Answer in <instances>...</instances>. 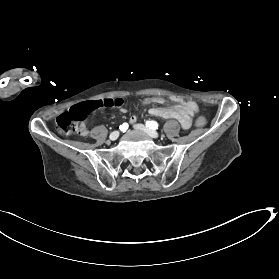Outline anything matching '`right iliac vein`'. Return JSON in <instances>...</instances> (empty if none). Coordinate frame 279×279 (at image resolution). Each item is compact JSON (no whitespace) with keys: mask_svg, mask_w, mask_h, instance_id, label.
<instances>
[{"mask_svg":"<svg viewBox=\"0 0 279 279\" xmlns=\"http://www.w3.org/2000/svg\"><path fill=\"white\" fill-rule=\"evenodd\" d=\"M119 137V132L118 131H114L110 134L109 138L110 140L114 141Z\"/></svg>","mask_w":279,"mask_h":279,"instance_id":"1","label":"right iliac vein"}]
</instances>
